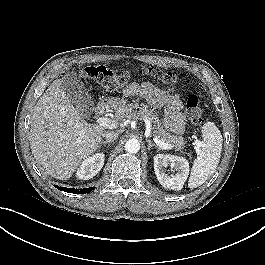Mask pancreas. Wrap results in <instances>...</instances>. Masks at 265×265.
Masks as SVG:
<instances>
[{
	"label": "pancreas",
	"instance_id": "cf45deb5",
	"mask_svg": "<svg viewBox=\"0 0 265 265\" xmlns=\"http://www.w3.org/2000/svg\"><path fill=\"white\" fill-rule=\"evenodd\" d=\"M115 117L121 120L133 118L147 119L151 124V131L155 137L159 138L165 143L171 144L176 150H181L185 144L184 138L182 136L172 135L165 130L153 109H149L145 104H127L117 110Z\"/></svg>",
	"mask_w": 265,
	"mask_h": 265
}]
</instances>
